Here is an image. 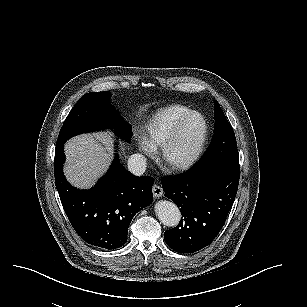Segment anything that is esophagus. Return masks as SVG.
<instances>
[{
    "label": "esophagus",
    "mask_w": 307,
    "mask_h": 307,
    "mask_svg": "<svg viewBox=\"0 0 307 307\" xmlns=\"http://www.w3.org/2000/svg\"><path fill=\"white\" fill-rule=\"evenodd\" d=\"M153 195L155 198H160L163 196V189L157 184L153 186Z\"/></svg>",
    "instance_id": "34e87169"
}]
</instances>
